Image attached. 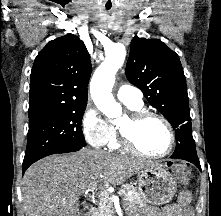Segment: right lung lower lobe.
<instances>
[{
  "mask_svg": "<svg viewBox=\"0 0 221 216\" xmlns=\"http://www.w3.org/2000/svg\"><path fill=\"white\" fill-rule=\"evenodd\" d=\"M81 148H67V149H63V150H59V151H55L51 154H57V153H68V152H74V151H78L80 150ZM49 154V155H51ZM48 156V155H46ZM45 157V156H44ZM43 158V157H42ZM34 163V162H32ZM32 163H28V164H23V167H22V171L23 173L27 170V168L32 164Z\"/></svg>",
  "mask_w": 221,
  "mask_h": 216,
  "instance_id": "1",
  "label": "right lung lower lobe"
}]
</instances>
